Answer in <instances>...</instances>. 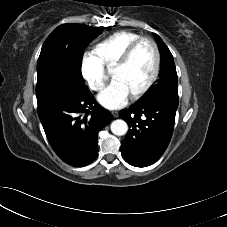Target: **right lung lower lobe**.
<instances>
[{"label":"right lung lower lobe","mask_w":227,"mask_h":227,"mask_svg":"<svg viewBox=\"0 0 227 227\" xmlns=\"http://www.w3.org/2000/svg\"><path fill=\"white\" fill-rule=\"evenodd\" d=\"M38 115L55 153L83 167L98 155V132L112 119L85 85L62 84L37 98Z\"/></svg>","instance_id":"98d812e1"}]
</instances>
